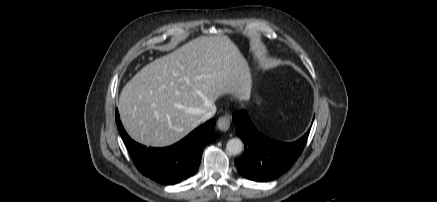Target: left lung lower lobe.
<instances>
[{"instance_id": "0a47b994", "label": "left lung lower lobe", "mask_w": 437, "mask_h": 202, "mask_svg": "<svg viewBox=\"0 0 437 202\" xmlns=\"http://www.w3.org/2000/svg\"><path fill=\"white\" fill-rule=\"evenodd\" d=\"M236 134L245 145L243 155L235 160L238 171L246 178L267 182L285 173L301 155L309 131L292 143L272 140L260 133L245 110L233 114Z\"/></svg>"}]
</instances>
